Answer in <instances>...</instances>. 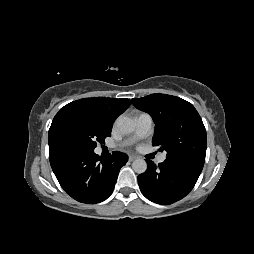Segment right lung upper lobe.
Returning <instances> with one entry per match:
<instances>
[{
    "label": "right lung upper lobe",
    "instance_id": "1",
    "mask_svg": "<svg viewBox=\"0 0 254 254\" xmlns=\"http://www.w3.org/2000/svg\"><path fill=\"white\" fill-rule=\"evenodd\" d=\"M130 104L131 100L127 98L116 99V98L94 97L80 99L71 102L65 105L63 108H61L54 117L52 124L64 113L74 110H82L96 114L106 124L112 127L115 119L120 114H122L130 106ZM48 143L49 145L55 143L51 138L50 130L48 135Z\"/></svg>",
    "mask_w": 254,
    "mask_h": 254
}]
</instances>
